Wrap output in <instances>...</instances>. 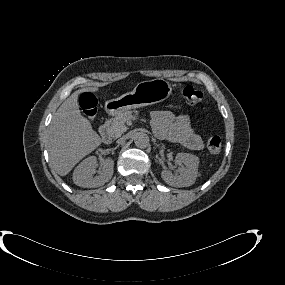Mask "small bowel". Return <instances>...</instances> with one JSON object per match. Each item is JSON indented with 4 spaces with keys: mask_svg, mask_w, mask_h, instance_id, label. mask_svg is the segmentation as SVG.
Listing matches in <instances>:
<instances>
[{
    "mask_svg": "<svg viewBox=\"0 0 285 285\" xmlns=\"http://www.w3.org/2000/svg\"><path fill=\"white\" fill-rule=\"evenodd\" d=\"M151 117L152 128L159 138L181 144L188 149H202V139L194 129L191 117L176 116L167 110L153 111Z\"/></svg>",
    "mask_w": 285,
    "mask_h": 285,
    "instance_id": "obj_1",
    "label": "small bowel"
}]
</instances>
